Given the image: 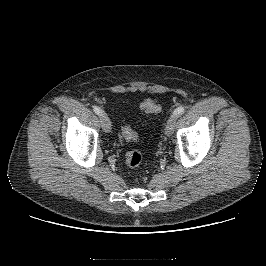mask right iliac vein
<instances>
[{
	"label": "right iliac vein",
	"mask_w": 266,
	"mask_h": 266,
	"mask_svg": "<svg viewBox=\"0 0 266 266\" xmlns=\"http://www.w3.org/2000/svg\"><path fill=\"white\" fill-rule=\"evenodd\" d=\"M100 122L102 129L105 133H109L111 130V122L106 114L100 116Z\"/></svg>",
	"instance_id": "obj_1"
}]
</instances>
